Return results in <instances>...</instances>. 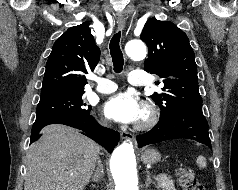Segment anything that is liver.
<instances>
[{"mask_svg":"<svg viewBox=\"0 0 238 190\" xmlns=\"http://www.w3.org/2000/svg\"><path fill=\"white\" fill-rule=\"evenodd\" d=\"M26 155L24 190H83L95 169L100 147L65 125L44 127Z\"/></svg>","mask_w":238,"mask_h":190,"instance_id":"obj_1","label":"liver"}]
</instances>
